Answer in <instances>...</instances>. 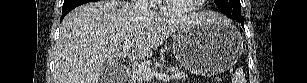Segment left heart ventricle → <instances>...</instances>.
<instances>
[{"instance_id": "1", "label": "left heart ventricle", "mask_w": 307, "mask_h": 83, "mask_svg": "<svg viewBox=\"0 0 307 83\" xmlns=\"http://www.w3.org/2000/svg\"><path fill=\"white\" fill-rule=\"evenodd\" d=\"M173 7H187L192 6L197 0H171L169 1Z\"/></svg>"}]
</instances>
